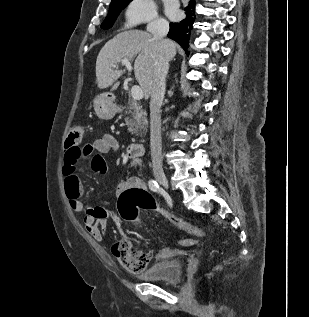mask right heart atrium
<instances>
[{
  "instance_id": "obj_1",
  "label": "right heart atrium",
  "mask_w": 309,
  "mask_h": 317,
  "mask_svg": "<svg viewBox=\"0 0 309 317\" xmlns=\"http://www.w3.org/2000/svg\"><path fill=\"white\" fill-rule=\"evenodd\" d=\"M125 19L128 25L156 23L159 20L153 0H131L125 9Z\"/></svg>"
}]
</instances>
